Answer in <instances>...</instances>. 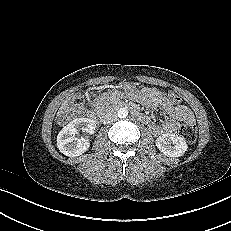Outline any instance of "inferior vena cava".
<instances>
[{
  "label": "inferior vena cava",
  "instance_id": "inferior-vena-cava-1",
  "mask_svg": "<svg viewBox=\"0 0 231 231\" xmlns=\"http://www.w3.org/2000/svg\"><path fill=\"white\" fill-rule=\"evenodd\" d=\"M117 117V113L111 110L104 113V115L102 116V120L104 124H109L115 122L117 120Z\"/></svg>",
  "mask_w": 231,
  "mask_h": 231
}]
</instances>
